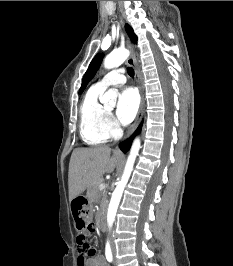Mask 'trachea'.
<instances>
[{"mask_svg": "<svg viewBox=\"0 0 233 266\" xmlns=\"http://www.w3.org/2000/svg\"><path fill=\"white\" fill-rule=\"evenodd\" d=\"M127 71H128L129 76H131V77L134 76V70H133V68L128 67Z\"/></svg>", "mask_w": 233, "mask_h": 266, "instance_id": "trachea-1", "label": "trachea"}]
</instances>
